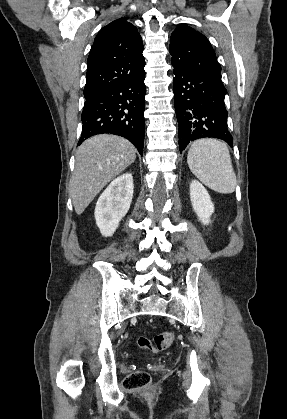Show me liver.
Returning <instances> with one entry per match:
<instances>
[{
    "instance_id": "1",
    "label": "liver",
    "mask_w": 287,
    "mask_h": 419,
    "mask_svg": "<svg viewBox=\"0 0 287 419\" xmlns=\"http://www.w3.org/2000/svg\"><path fill=\"white\" fill-rule=\"evenodd\" d=\"M136 158L135 147L120 136L101 134L84 141L76 152L70 197L80 215L97 194Z\"/></svg>"
}]
</instances>
